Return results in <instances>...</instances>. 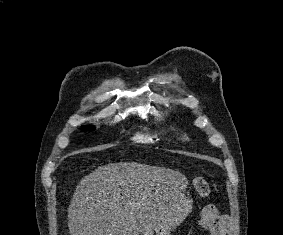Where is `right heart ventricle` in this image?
<instances>
[{"label":"right heart ventricle","instance_id":"obj_1","mask_svg":"<svg viewBox=\"0 0 283 235\" xmlns=\"http://www.w3.org/2000/svg\"><path fill=\"white\" fill-rule=\"evenodd\" d=\"M135 140L139 143L146 145H154L159 142V137L157 133H139L136 135Z\"/></svg>","mask_w":283,"mask_h":235}]
</instances>
